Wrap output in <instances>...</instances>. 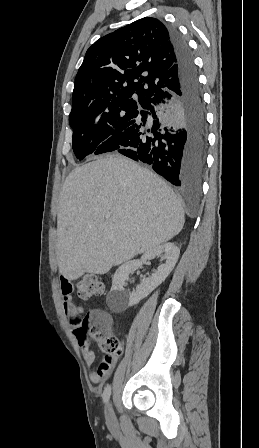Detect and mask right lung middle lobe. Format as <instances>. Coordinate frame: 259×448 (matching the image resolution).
I'll return each mask as SVG.
<instances>
[{"mask_svg":"<svg viewBox=\"0 0 259 448\" xmlns=\"http://www.w3.org/2000/svg\"><path fill=\"white\" fill-rule=\"evenodd\" d=\"M141 109L142 105L136 104L70 115L72 147L77 159L113 151L118 137L135 121Z\"/></svg>","mask_w":259,"mask_h":448,"instance_id":"1","label":"right lung middle lobe"}]
</instances>
